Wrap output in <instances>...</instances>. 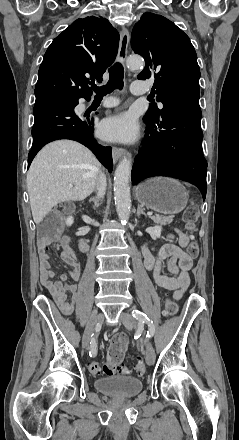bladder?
<instances>
[{
  "instance_id": "bladder-1",
  "label": "bladder",
  "mask_w": 239,
  "mask_h": 440,
  "mask_svg": "<svg viewBox=\"0 0 239 440\" xmlns=\"http://www.w3.org/2000/svg\"><path fill=\"white\" fill-rule=\"evenodd\" d=\"M94 385L97 391L116 398H130L143 389L142 381L132 376L102 377Z\"/></svg>"
}]
</instances>
